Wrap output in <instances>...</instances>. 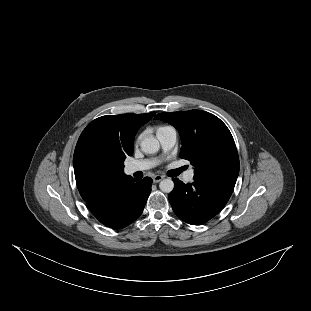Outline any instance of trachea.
Masks as SVG:
<instances>
[{"label":"trachea","mask_w":311,"mask_h":311,"mask_svg":"<svg viewBox=\"0 0 311 311\" xmlns=\"http://www.w3.org/2000/svg\"><path fill=\"white\" fill-rule=\"evenodd\" d=\"M187 168H188V166H183V167H181L180 172H182V171L186 170Z\"/></svg>","instance_id":"obj_1"}]
</instances>
